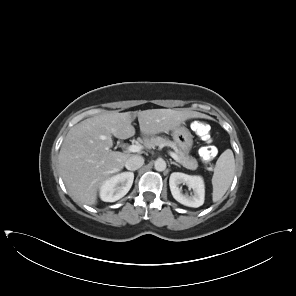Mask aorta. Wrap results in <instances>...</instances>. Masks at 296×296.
I'll return each mask as SVG.
<instances>
[{"label": "aorta", "instance_id": "1", "mask_svg": "<svg viewBox=\"0 0 296 296\" xmlns=\"http://www.w3.org/2000/svg\"><path fill=\"white\" fill-rule=\"evenodd\" d=\"M154 168L156 171L162 172L166 169V162L163 159H157L154 162Z\"/></svg>", "mask_w": 296, "mask_h": 296}]
</instances>
